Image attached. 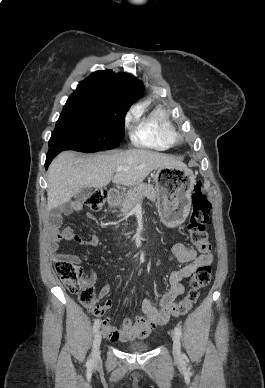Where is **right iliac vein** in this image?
Wrapping results in <instances>:
<instances>
[{"instance_id":"obj_1","label":"right iliac vein","mask_w":265,"mask_h":388,"mask_svg":"<svg viewBox=\"0 0 265 388\" xmlns=\"http://www.w3.org/2000/svg\"><path fill=\"white\" fill-rule=\"evenodd\" d=\"M101 340H102V334L100 331H97L94 337L93 346H92V359L94 362H97L100 359Z\"/></svg>"}]
</instances>
